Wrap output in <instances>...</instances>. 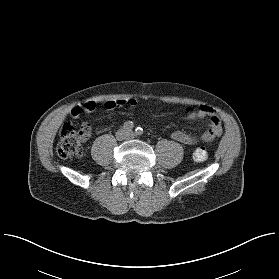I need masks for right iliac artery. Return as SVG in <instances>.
Segmentation results:
<instances>
[{
	"label": "right iliac artery",
	"instance_id": "right-iliac-artery-1",
	"mask_svg": "<svg viewBox=\"0 0 279 279\" xmlns=\"http://www.w3.org/2000/svg\"><path fill=\"white\" fill-rule=\"evenodd\" d=\"M134 127V124L132 121H127L124 123L123 125V128L126 130V131H131Z\"/></svg>",
	"mask_w": 279,
	"mask_h": 279
}]
</instances>
